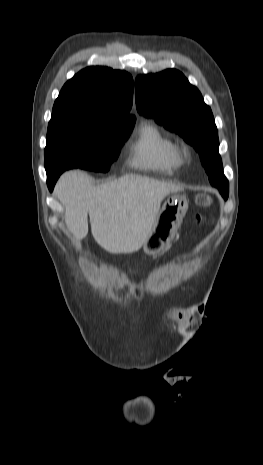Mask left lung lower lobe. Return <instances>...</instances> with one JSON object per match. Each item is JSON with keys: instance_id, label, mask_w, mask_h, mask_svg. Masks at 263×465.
I'll return each mask as SVG.
<instances>
[{"instance_id": "left-lung-lower-lobe-1", "label": "left lung lower lobe", "mask_w": 263, "mask_h": 465, "mask_svg": "<svg viewBox=\"0 0 263 465\" xmlns=\"http://www.w3.org/2000/svg\"><path fill=\"white\" fill-rule=\"evenodd\" d=\"M202 164L209 175L211 184L215 183L214 176L218 174L222 168L220 160L213 156L201 157Z\"/></svg>"}]
</instances>
